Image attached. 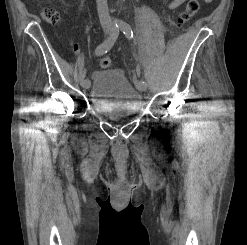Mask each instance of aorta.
Masks as SVG:
<instances>
[{
	"label": "aorta",
	"mask_w": 247,
	"mask_h": 245,
	"mask_svg": "<svg viewBox=\"0 0 247 245\" xmlns=\"http://www.w3.org/2000/svg\"><path fill=\"white\" fill-rule=\"evenodd\" d=\"M114 22H115L116 24H119V23H120V20L115 19Z\"/></svg>",
	"instance_id": "762f6f07"
}]
</instances>
